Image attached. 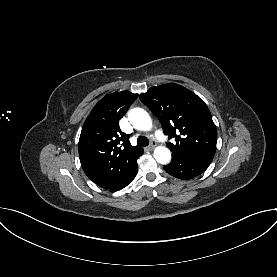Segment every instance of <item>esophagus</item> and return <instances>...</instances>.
<instances>
[{
  "label": "esophagus",
  "instance_id": "34e87169",
  "mask_svg": "<svg viewBox=\"0 0 277 277\" xmlns=\"http://www.w3.org/2000/svg\"><path fill=\"white\" fill-rule=\"evenodd\" d=\"M156 143L155 142H152L149 146H148V149L149 150H153L155 147H156Z\"/></svg>",
  "mask_w": 277,
  "mask_h": 277
}]
</instances>
